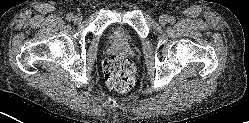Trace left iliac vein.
Returning <instances> with one entry per match:
<instances>
[{"label": "left iliac vein", "mask_w": 249, "mask_h": 123, "mask_svg": "<svg viewBox=\"0 0 249 123\" xmlns=\"http://www.w3.org/2000/svg\"><path fill=\"white\" fill-rule=\"evenodd\" d=\"M168 19H169V18H168L167 15H161V16L159 17V22H160V24H161L162 26H164V25L167 24Z\"/></svg>", "instance_id": "4c4485c4"}]
</instances>
